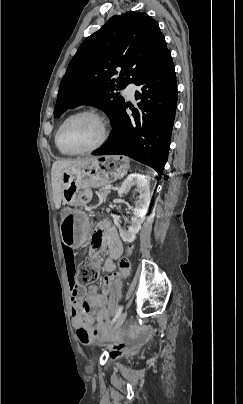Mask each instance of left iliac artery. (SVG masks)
I'll return each mask as SVG.
<instances>
[{"label": "left iliac artery", "instance_id": "left-iliac-artery-1", "mask_svg": "<svg viewBox=\"0 0 243 404\" xmlns=\"http://www.w3.org/2000/svg\"><path fill=\"white\" fill-rule=\"evenodd\" d=\"M122 309H123V307L119 306V308L117 309V311H116V313L114 315V318H113L111 324H113L118 319V317L120 316V314L122 312Z\"/></svg>", "mask_w": 243, "mask_h": 404}]
</instances>
